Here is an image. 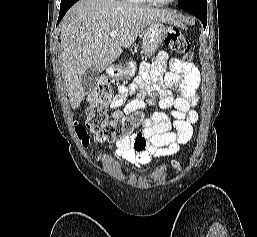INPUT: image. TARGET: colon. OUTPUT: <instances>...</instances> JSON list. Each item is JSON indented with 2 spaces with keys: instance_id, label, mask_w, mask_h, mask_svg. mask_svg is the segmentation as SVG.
<instances>
[{
  "instance_id": "colon-1",
  "label": "colon",
  "mask_w": 257,
  "mask_h": 237,
  "mask_svg": "<svg viewBox=\"0 0 257 237\" xmlns=\"http://www.w3.org/2000/svg\"><path fill=\"white\" fill-rule=\"evenodd\" d=\"M165 44L185 59H191L189 38L180 30H170ZM114 89V80L109 77H101L92 88L88 96L89 107L86 110V122L75 124V133L83 145L89 144L88 131H91L99 141H121L132 134L141 122L140 115L117 120L110 118L108 105L114 98ZM173 167L179 169L180 162L175 161Z\"/></svg>"
}]
</instances>
